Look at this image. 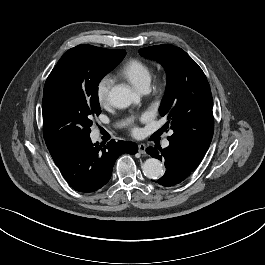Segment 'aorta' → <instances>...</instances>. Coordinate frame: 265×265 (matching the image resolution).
<instances>
[{
    "mask_svg": "<svg viewBox=\"0 0 265 265\" xmlns=\"http://www.w3.org/2000/svg\"><path fill=\"white\" fill-rule=\"evenodd\" d=\"M109 98L111 104L116 108L129 107L133 102H139V96L135 94L129 87L124 85L114 86ZM143 174L149 179H158L163 174V166L158 159L149 158L142 165Z\"/></svg>",
    "mask_w": 265,
    "mask_h": 265,
    "instance_id": "1",
    "label": "aorta"
}]
</instances>
